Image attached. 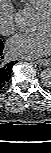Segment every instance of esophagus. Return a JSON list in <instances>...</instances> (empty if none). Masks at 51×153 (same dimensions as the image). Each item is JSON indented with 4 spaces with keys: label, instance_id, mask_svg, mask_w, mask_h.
<instances>
[{
    "label": "esophagus",
    "instance_id": "esophagus-1",
    "mask_svg": "<svg viewBox=\"0 0 51 153\" xmlns=\"http://www.w3.org/2000/svg\"><path fill=\"white\" fill-rule=\"evenodd\" d=\"M37 64L40 66H49L50 65V60L49 59H42V60H38Z\"/></svg>",
    "mask_w": 51,
    "mask_h": 153
}]
</instances>
